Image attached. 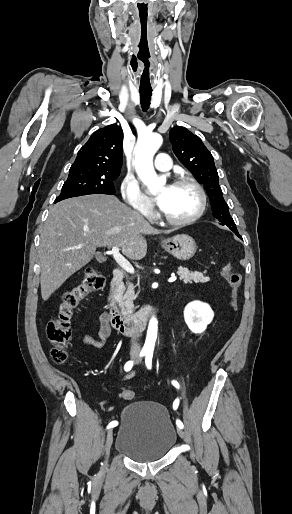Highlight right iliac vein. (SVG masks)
<instances>
[{
	"label": "right iliac vein",
	"instance_id": "1",
	"mask_svg": "<svg viewBox=\"0 0 292 514\" xmlns=\"http://www.w3.org/2000/svg\"><path fill=\"white\" fill-rule=\"evenodd\" d=\"M112 443H113V431L109 430L108 433H107V436H106V443H105L106 458H105V461H104V464H103V467H102V473L105 471V468L107 466V460H108V456H109V453H110V448H111Z\"/></svg>",
	"mask_w": 292,
	"mask_h": 514
}]
</instances>
